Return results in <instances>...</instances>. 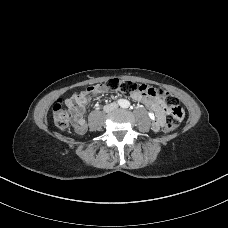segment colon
<instances>
[{
    "label": "colon",
    "mask_w": 228,
    "mask_h": 228,
    "mask_svg": "<svg viewBox=\"0 0 228 228\" xmlns=\"http://www.w3.org/2000/svg\"><path fill=\"white\" fill-rule=\"evenodd\" d=\"M99 86L109 90H119L121 92L131 93L133 91H139L149 96L158 97L162 101L164 107L169 111V115L163 124V131L165 133H171L175 131L181 119L183 118V110L178 105L177 99L165 90L156 89L145 84H137L133 81L120 79H111L105 84H101ZM52 112L55 125L59 129H66L73 117L72 110L69 107L65 106L62 99H58L53 105Z\"/></svg>",
    "instance_id": "1"
}]
</instances>
